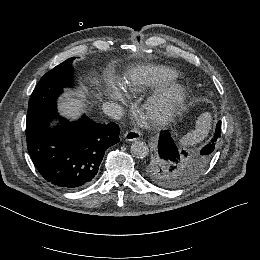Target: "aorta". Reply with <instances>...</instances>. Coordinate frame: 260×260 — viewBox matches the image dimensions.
I'll return each instance as SVG.
<instances>
[{"label": "aorta", "instance_id": "1", "mask_svg": "<svg viewBox=\"0 0 260 260\" xmlns=\"http://www.w3.org/2000/svg\"><path fill=\"white\" fill-rule=\"evenodd\" d=\"M148 152V146L143 141H135L131 145V153L136 158L143 159L148 155Z\"/></svg>", "mask_w": 260, "mask_h": 260}]
</instances>
